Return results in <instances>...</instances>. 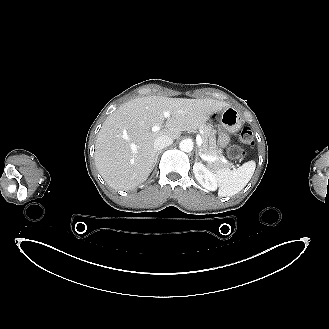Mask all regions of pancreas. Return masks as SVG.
Returning <instances> with one entry per match:
<instances>
[{"label":"pancreas","mask_w":329,"mask_h":329,"mask_svg":"<svg viewBox=\"0 0 329 329\" xmlns=\"http://www.w3.org/2000/svg\"><path fill=\"white\" fill-rule=\"evenodd\" d=\"M203 143L200 147V153L207 156L217 157L214 162H208L211 167H222L225 164L222 162V151L216 146V131L207 125L201 127Z\"/></svg>","instance_id":"cf45deb5"}]
</instances>
